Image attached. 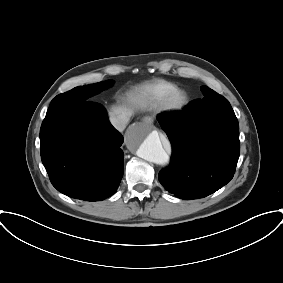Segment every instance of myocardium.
Listing matches in <instances>:
<instances>
[{"mask_svg": "<svg viewBox=\"0 0 283 283\" xmlns=\"http://www.w3.org/2000/svg\"><path fill=\"white\" fill-rule=\"evenodd\" d=\"M187 103L186 92L181 89H174L162 97L160 106L163 111L176 112L183 109Z\"/></svg>", "mask_w": 283, "mask_h": 283, "instance_id": "1", "label": "myocardium"}]
</instances>
